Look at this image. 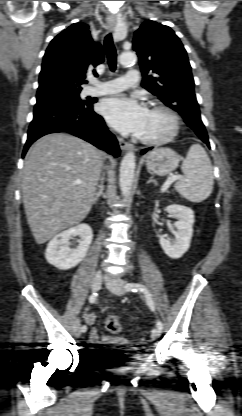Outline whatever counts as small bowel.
<instances>
[{"label":"small bowel","instance_id":"obj_1","mask_svg":"<svg viewBox=\"0 0 242 416\" xmlns=\"http://www.w3.org/2000/svg\"><path fill=\"white\" fill-rule=\"evenodd\" d=\"M97 319V315L93 312H87L84 314V320L90 326H93L97 322ZM89 341L93 345L105 346L112 342V338L107 335H101L97 328L93 327L90 330Z\"/></svg>","mask_w":242,"mask_h":416}]
</instances>
